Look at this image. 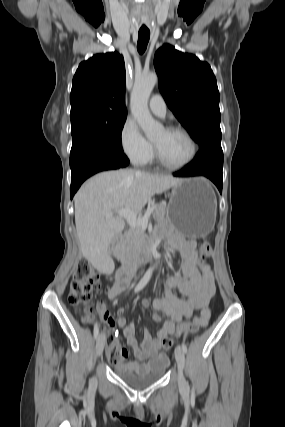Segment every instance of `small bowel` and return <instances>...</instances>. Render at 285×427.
<instances>
[{
	"label": "small bowel",
	"instance_id": "small-bowel-1",
	"mask_svg": "<svg viewBox=\"0 0 285 427\" xmlns=\"http://www.w3.org/2000/svg\"><path fill=\"white\" fill-rule=\"evenodd\" d=\"M170 245L180 253L181 257V275L169 277L166 281L165 296L154 300H143V308L153 307L155 313L154 321L161 319V314L167 319L156 335H153L148 329L144 331V338L139 341L135 336V327L128 323L122 316L125 309L118 308V319L107 311L105 302L97 303V310L102 320L111 328L119 326L122 328L123 335L127 344L132 349L135 361L126 362L128 352L119 346L120 358L118 361H112L108 357L109 348L106 354L110 362L126 370H136L145 372L149 368H156L162 365L168 366L167 357L160 352L162 341L174 334L175 324H182L190 319L194 310H201L202 326L208 324L210 318L209 303L215 294V281L213 272L208 264L201 263L198 260L196 243L192 240H186L179 235H169ZM128 281L115 279L114 284L108 291L110 299H116L127 287ZM174 289L178 294L174 293Z\"/></svg>",
	"mask_w": 285,
	"mask_h": 427
}]
</instances>
